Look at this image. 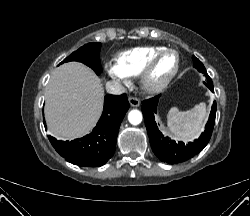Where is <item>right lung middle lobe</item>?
<instances>
[{
  "label": "right lung middle lobe",
  "instance_id": "dd1d6c3e",
  "mask_svg": "<svg viewBox=\"0 0 250 216\" xmlns=\"http://www.w3.org/2000/svg\"><path fill=\"white\" fill-rule=\"evenodd\" d=\"M100 47L101 43L86 44L79 48L77 51L73 52L61 63L68 61L82 62L92 68L96 74H100L102 72L100 64Z\"/></svg>",
  "mask_w": 250,
  "mask_h": 216
}]
</instances>
